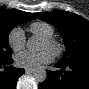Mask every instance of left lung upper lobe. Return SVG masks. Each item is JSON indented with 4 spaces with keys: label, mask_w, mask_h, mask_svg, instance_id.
<instances>
[{
    "label": "left lung upper lobe",
    "mask_w": 89,
    "mask_h": 89,
    "mask_svg": "<svg viewBox=\"0 0 89 89\" xmlns=\"http://www.w3.org/2000/svg\"><path fill=\"white\" fill-rule=\"evenodd\" d=\"M36 17L55 26L60 32L65 53L60 63L68 64L80 59H89V22L77 14L55 10L35 13Z\"/></svg>",
    "instance_id": "5c2ea615"
}]
</instances>
